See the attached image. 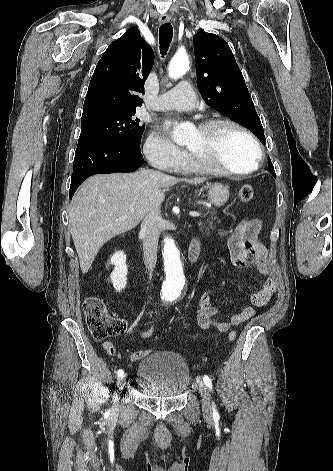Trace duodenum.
Here are the masks:
<instances>
[{
  "instance_id": "1",
  "label": "duodenum",
  "mask_w": 333,
  "mask_h": 471,
  "mask_svg": "<svg viewBox=\"0 0 333 471\" xmlns=\"http://www.w3.org/2000/svg\"><path fill=\"white\" fill-rule=\"evenodd\" d=\"M200 254V243L194 240L188 248V260L191 264H194Z\"/></svg>"
}]
</instances>
